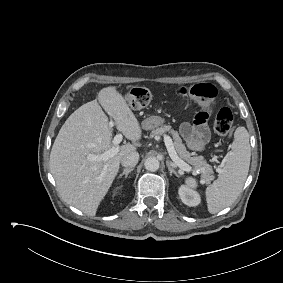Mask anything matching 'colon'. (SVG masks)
Returning a JSON list of instances; mask_svg holds the SVG:
<instances>
[{
  "label": "colon",
  "mask_w": 283,
  "mask_h": 283,
  "mask_svg": "<svg viewBox=\"0 0 283 283\" xmlns=\"http://www.w3.org/2000/svg\"><path fill=\"white\" fill-rule=\"evenodd\" d=\"M182 95L192 97L207 107H212L216 102L217 89L210 83H198L190 87L179 89ZM152 99L151 91L146 87H134L128 93L126 100L128 105L135 110H141L147 107ZM233 125V113L230 108L222 107L218 110L214 130L220 136L227 135Z\"/></svg>",
  "instance_id": "5ec220e1"
}]
</instances>
